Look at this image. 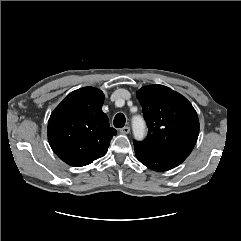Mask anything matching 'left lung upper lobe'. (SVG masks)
<instances>
[{"label": "left lung upper lobe", "mask_w": 241, "mask_h": 241, "mask_svg": "<svg viewBox=\"0 0 241 241\" xmlns=\"http://www.w3.org/2000/svg\"><path fill=\"white\" fill-rule=\"evenodd\" d=\"M136 96L148 126L146 139L137 143L154 150L190 154L199 134L198 116L191 103L163 85L145 86Z\"/></svg>", "instance_id": "left-lung-upper-lobe-1"}]
</instances>
